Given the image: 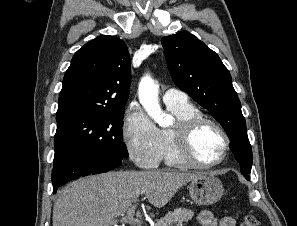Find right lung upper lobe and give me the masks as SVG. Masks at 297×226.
I'll list each match as a JSON object with an SVG mask.
<instances>
[{
	"label": "right lung upper lobe",
	"instance_id": "obj_1",
	"mask_svg": "<svg viewBox=\"0 0 297 226\" xmlns=\"http://www.w3.org/2000/svg\"><path fill=\"white\" fill-rule=\"evenodd\" d=\"M130 57L116 36H99L79 49L67 69L56 120L79 113H117L129 97Z\"/></svg>",
	"mask_w": 297,
	"mask_h": 226
}]
</instances>
